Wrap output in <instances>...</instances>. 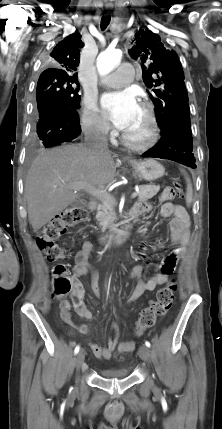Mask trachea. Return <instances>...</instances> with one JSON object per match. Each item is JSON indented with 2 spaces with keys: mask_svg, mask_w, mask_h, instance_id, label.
I'll return each instance as SVG.
<instances>
[{
  "mask_svg": "<svg viewBox=\"0 0 222 429\" xmlns=\"http://www.w3.org/2000/svg\"><path fill=\"white\" fill-rule=\"evenodd\" d=\"M111 20L110 16H103L101 18V30H105L107 28V26L109 25Z\"/></svg>",
  "mask_w": 222,
  "mask_h": 429,
  "instance_id": "obj_1",
  "label": "trachea"
}]
</instances>
